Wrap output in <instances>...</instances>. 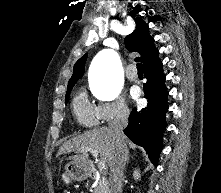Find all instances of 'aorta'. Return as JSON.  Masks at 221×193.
<instances>
[{
  "label": "aorta",
  "instance_id": "aorta-1",
  "mask_svg": "<svg viewBox=\"0 0 221 193\" xmlns=\"http://www.w3.org/2000/svg\"><path fill=\"white\" fill-rule=\"evenodd\" d=\"M95 82L94 94L104 101L115 100L123 86L122 65L112 49L99 52L91 65Z\"/></svg>",
  "mask_w": 221,
  "mask_h": 193
}]
</instances>
